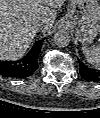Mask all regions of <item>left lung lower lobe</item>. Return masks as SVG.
Here are the masks:
<instances>
[{
    "label": "left lung lower lobe",
    "mask_w": 100,
    "mask_h": 118,
    "mask_svg": "<svg viewBox=\"0 0 100 118\" xmlns=\"http://www.w3.org/2000/svg\"><path fill=\"white\" fill-rule=\"evenodd\" d=\"M80 74L88 82L100 81V71L88 68L83 63H80Z\"/></svg>",
    "instance_id": "1"
}]
</instances>
